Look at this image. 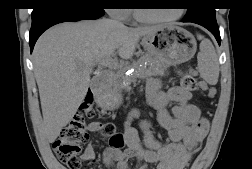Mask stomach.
I'll use <instances>...</instances> for the list:
<instances>
[{
    "mask_svg": "<svg viewBox=\"0 0 252 169\" xmlns=\"http://www.w3.org/2000/svg\"><path fill=\"white\" fill-rule=\"evenodd\" d=\"M141 44L163 67L188 61L197 49L194 36L176 25L161 26L155 32L143 36ZM103 104L108 108L117 107L119 105L117 93L111 91Z\"/></svg>",
    "mask_w": 252,
    "mask_h": 169,
    "instance_id": "stomach-1",
    "label": "stomach"
}]
</instances>
